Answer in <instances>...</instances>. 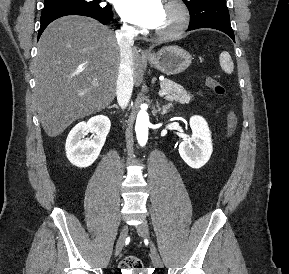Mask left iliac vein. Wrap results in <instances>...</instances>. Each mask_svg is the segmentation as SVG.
Segmentation results:
<instances>
[{
  "label": "left iliac vein",
  "instance_id": "obj_1",
  "mask_svg": "<svg viewBox=\"0 0 289 274\" xmlns=\"http://www.w3.org/2000/svg\"><path fill=\"white\" fill-rule=\"evenodd\" d=\"M137 233L143 238H149V226L146 222H142L136 227ZM151 260L155 267H163V262L160 255L158 254L154 244H151Z\"/></svg>",
  "mask_w": 289,
  "mask_h": 274
}]
</instances>
